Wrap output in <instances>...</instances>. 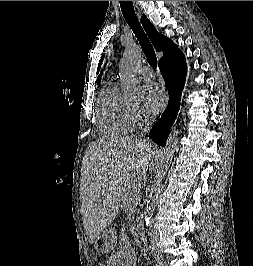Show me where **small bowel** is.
Here are the masks:
<instances>
[{
    "instance_id": "c3829d8e",
    "label": "small bowel",
    "mask_w": 253,
    "mask_h": 266,
    "mask_svg": "<svg viewBox=\"0 0 253 266\" xmlns=\"http://www.w3.org/2000/svg\"><path fill=\"white\" fill-rule=\"evenodd\" d=\"M109 266H122L125 264L134 265L132 260L125 259L122 253H118L109 259Z\"/></svg>"
}]
</instances>
